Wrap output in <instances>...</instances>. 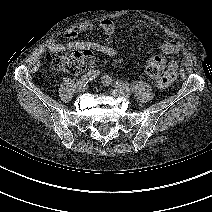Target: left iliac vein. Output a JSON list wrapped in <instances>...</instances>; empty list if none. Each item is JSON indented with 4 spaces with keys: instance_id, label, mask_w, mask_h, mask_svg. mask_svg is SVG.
Listing matches in <instances>:
<instances>
[{
    "instance_id": "1",
    "label": "left iliac vein",
    "mask_w": 212,
    "mask_h": 212,
    "mask_svg": "<svg viewBox=\"0 0 212 212\" xmlns=\"http://www.w3.org/2000/svg\"><path fill=\"white\" fill-rule=\"evenodd\" d=\"M110 93L117 98H125V99H129L130 98V94H126L123 93L122 91L118 90V89H111Z\"/></svg>"
}]
</instances>
